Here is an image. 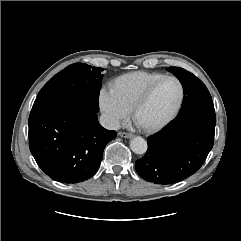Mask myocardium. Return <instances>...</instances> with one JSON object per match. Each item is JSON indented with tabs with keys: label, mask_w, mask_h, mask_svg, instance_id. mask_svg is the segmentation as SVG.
<instances>
[{
	"label": "myocardium",
	"mask_w": 241,
	"mask_h": 241,
	"mask_svg": "<svg viewBox=\"0 0 241 241\" xmlns=\"http://www.w3.org/2000/svg\"><path fill=\"white\" fill-rule=\"evenodd\" d=\"M165 80H174L179 85L180 95H179L178 102H177L176 106L174 107V109L172 110V112L158 124H155L152 126H145V127L141 126V128L146 132H149V133L157 132V131L163 129L164 127H166L169 123H171L176 118V116L178 115V113L183 105L184 98H185V88H184L182 81L176 76L165 75V76L159 78L158 80H156L155 82H153L151 85H149L145 89V91L136 99V101L133 103V105L130 109L132 117L133 118L135 117L137 110L148 101V99L151 97L154 90Z\"/></svg>",
	"instance_id": "1"
}]
</instances>
